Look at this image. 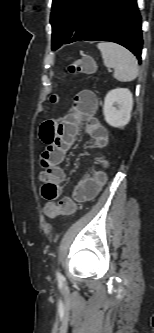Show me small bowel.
<instances>
[{"instance_id":"1","label":"small bowel","mask_w":154,"mask_h":333,"mask_svg":"<svg viewBox=\"0 0 154 333\" xmlns=\"http://www.w3.org/2000/svg\"><path fill=\"white\" fill-rule=\"evenodd\" d=\"M98 109V98L90 90H82L74 97L73 108L61 119L45 120L40 125L39 137L45 144L41 155L42 170L39 180L42 183L41 193L48 201L56 200L63 188L65 172L60 167L67 151L74 143L81 125L96 150L104 149L109 142V133L95 117ZM103 165L106 162L103 160ZM106 179L104 171L97 172L93 177L80 182L73 191V197L78 202L92 199L98 193Z\"/></svg>"}]
</instances>
